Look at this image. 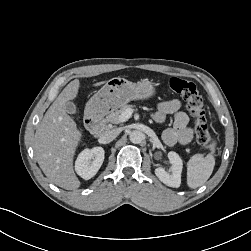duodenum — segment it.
<instances>
[{
    "label": "duodenum",
    "mask_w": 251,
    "mask_h": 251,
    "mask_svg": "<svg viewBox=\"0 0 251 251\" xmlns=\"http://www.w3.org/2000/svg\"><path fill=\"white\" fill-rule=\"evenodd\" d=\"M86 126L95 137H100L105 130L103 115L95 110L90 111L86 117Z\"/></svg>",
    "instance_id": "1"
}]
</instances>
